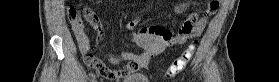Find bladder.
Masks as SVG:
<instances>
[{
    "mask_svg": "<svg viewBox=\"0 0 279 82\" xmlns=\"http://www.w3.org/2000/svg\"><path fill=\"white\" fill-rule=\"evenodd\" d=\"M117 82H148V79L144 73H132Z\"/></svg>",
    "mask_w": 279,
    "mask_h": 82,
    "instance_id": "31cf9c89",
    "label": "bladder"
}]
</instances>
